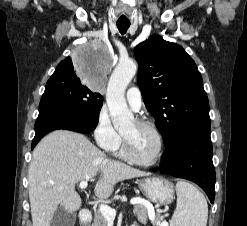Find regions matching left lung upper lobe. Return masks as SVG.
I'll return each mask as SVG.
<instances>
[{
	"instance_id": "left-lung-upper-lobe-1",
	"label": "left lung upper lobe",
	"mask_w": 247,
	"mask_h": 226,
	"mask_svg": "<svg viewBox=\"0 0 247 226\" xmlns=\"http://www.w3.org/2000/svg\"><path fill=\"white\" fill-rule=\"evenodd\" d=\"M134 53L139 64L138 85L165 146L187 129L210 123L201 74L180 45L152 35L136 46Z\"/></svg>"
}]
</instances>
